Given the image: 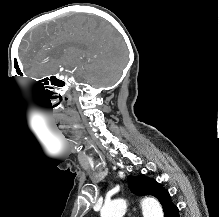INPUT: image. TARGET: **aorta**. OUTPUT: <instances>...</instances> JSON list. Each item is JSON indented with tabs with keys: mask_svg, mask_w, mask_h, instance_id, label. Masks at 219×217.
Wrapping results in <instances>:
<instances>
[{
	"mask_svg": "<svg viewBox=\"0 0 219 217\" xmlns=\"http://www.w3.org/2000/svg\"><path fill=\"white\" fill-rule=\"evenodd\" d=\"M144 217H164L160 203L153 198H146L141 203ZM126 212V202L122 199L112 201L103 206L101 217H123Z\"/></svg>",
	"mask_w": 219,
	"mask_h": 217,
	"instance_id": "762f6f07",
	"label": "aorta"
}]
</instances>
